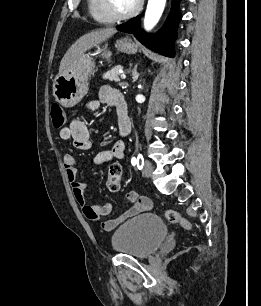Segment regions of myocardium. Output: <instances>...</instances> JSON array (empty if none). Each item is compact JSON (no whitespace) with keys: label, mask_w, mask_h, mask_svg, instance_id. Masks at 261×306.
I'll use <instances>...</instances> for the list:
<instances>
[{"label":"myocardium","mask_w":261,"mask_h":306,"mask_svg":"<svg viewBox=\"0 0 261 306\" xmlns=\"http://www.w3.org/2000/svg\"><path fill=\"white\" fill-rule=\"evenodd\" d=\"M102 6L106 14L114 21H119V20H126L129 19L136 14L139 13V11L142 9L143 6V0H138L137 4L135 7L126 12V13H119L115 10L114 5L112 0H102Z\"/></svg>","instance_id":"f54148a6"}]
</instances>
